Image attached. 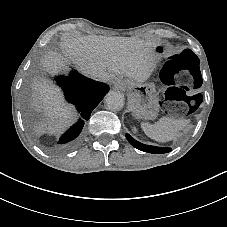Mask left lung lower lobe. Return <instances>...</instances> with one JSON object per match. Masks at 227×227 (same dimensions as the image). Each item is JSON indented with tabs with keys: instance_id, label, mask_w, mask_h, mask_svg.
<instances>
[{
	"instance_id": "obj_1",
	"label": "left lung lower lobe",
	"mask_w": 227,
	"mask_h": 227,
	"mask_svg": "<svg viewBox=\"0 0 227 227\" xmlns=\"http://www.w3.org/2000/svg\"><path fill=\"white\" fill-rule=\"evenodd\" d=\"M126 138L131 145H133L135 148L142 150L144 152L154 153V154H163L171 151V148L169 147H156V146L142 144L134 140L129 134H126Z\"/></svg>"
}]
</instances>
